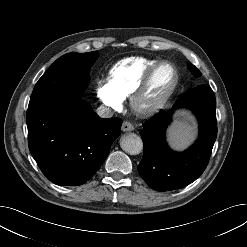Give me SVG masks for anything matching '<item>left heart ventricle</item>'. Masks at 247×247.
I'll return each instance as SVG.
<instances>
[{
	"label": "left heart ventricle",
	"instance_id": "left-heart-ventricle-1",
	"mask_svg": "<svg viewBox=\"0 0 247 247\" xmlns=\"http://www.w3.org/2000/svg\"><path fill=\"white\" fill-rule=\"evenodd\" d=\"M173 79L174 73L169 66L160 67L152 76L141 105L147 107L156 103L168 91Z\"/></svg>",
	"mask_w": 247,
	"mask_h": 247
}]
</instances>
